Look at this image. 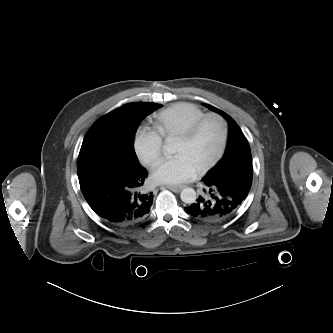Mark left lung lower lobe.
I'll list each match as a JSON object with an SVG mask.
<instances>
[{"instance_id": "obj_1", "label": "left lung lower lobe", "mask_w": 333, "mask_h": 333, "mask_svg": "<svg viewBox=\"0 0 333 333\" xmlns=\"http://www.w3.org/2000/svg\"><path fill=\"white\" fill-rule=\"evenodd\" d=\"M202 181L203 193L185 210L198 220L216 223L232 215L247 197L252 175L231 172L219 179L205 175Z\"/></svg>"}]
</instances>
